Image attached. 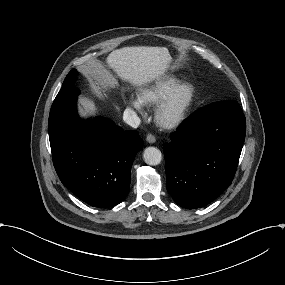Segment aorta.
I'll return each mask as SVG.
<instances>
[{
  "mask_svg": "<svg viewBox=\"0 0 285 285\" xmlns=\"http://www.w3.org/2000/svg\"><path fill=\"white\" fill-rule=\"evenodd\" d=\"M143 159L148 165H158L162 160V153L158 148L148 147L144 150Z\"/></svg>",
  "mask_w": 285,
  "mask_h": 285,
  "instance_id": "1",
  "label": "aorta"
}]
</instances>
